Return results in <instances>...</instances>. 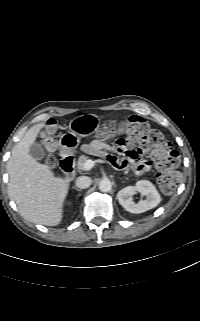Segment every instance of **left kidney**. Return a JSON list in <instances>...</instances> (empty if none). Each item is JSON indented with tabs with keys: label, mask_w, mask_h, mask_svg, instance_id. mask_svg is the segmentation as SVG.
I'll use <instances>...</instances> for the list:
<instances>
[{
	"label": "left kidney",
	"mask_w": 200,
	"mask_h": 321,
	"mask_svg": "<svg viewBox=\"0 0 200 321\" xmlns=\"http://www.w3.org/2000/svg\"><path fill=\"white\" fill-rule=\"evenodd\" d=\"M138 191L142 195L146 196L145 200H140L135 203L131 195ZM117 199L122 207H124L130 213H143L154 207H156L161 197L155 186L148 180H140L135 186H127L117 193Z\"/></svg>",
	"instance_id": "5707ae66"
}]
</instances>
